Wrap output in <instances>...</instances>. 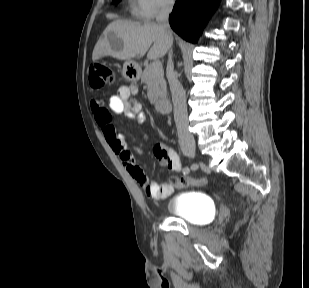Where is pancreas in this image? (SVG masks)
I'll return each instance as SVG.
<instances>
[{
  "mask_svg": "<svg viewBox=\"0 0 309 288\" xmlns=\"http://www.w3.org/2000/svg\"><path fill=\"white\" fill-rule=\"evenodd\" d=\"M141 81L148 86L147 95L152 104L166 97L167 86L162 68L153 69L151 64H146Z\"/></svg>",
  "mask_w": 309,
  "mask_h": 288,
  "instance_id": "obj_1",
  "label": "pancreas"
}]
</instances>
